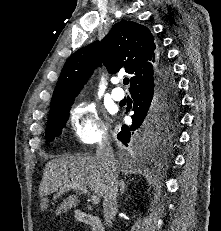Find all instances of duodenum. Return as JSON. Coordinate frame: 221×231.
Wrapping results in <instances>:
<instances>
[{
	"mask_svg": "<svg viewBox=\"0 0 221 231\" xmlns=\"http://www.w3.org/2000/svg\"><path fill=\"white\" fill-rule=\"evenodd\" d=\"M78 222L89 225L93 231H104L102 220L99 216L86 213L80 209L75 211Z\"/></svg>",
	"mask_w": 221,
	"mask_h": 231,
	"instance_id": "duodenum-1",
	"label": "duodenum"
}]
</instances>
